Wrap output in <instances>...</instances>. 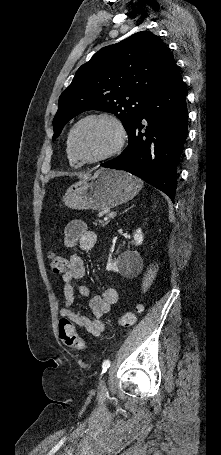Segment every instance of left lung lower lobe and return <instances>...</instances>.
<instances>
[{"label":"left lung lower lobe","mask_w":221,"mask_h":455,"mask_svg":"<svg viewBox=\"0 0 221 455\" xmlns=\"http://www.w3.org/2000/svg\"><path fill=\"white\" fill-rule=\"evenodd\" d=\"M185 98L184 83L175 64L139 112L126 149L101 166L130 172L173 200L188 132Z\"/></svg>","instance_id":"0a47b994"}]
</instances>
